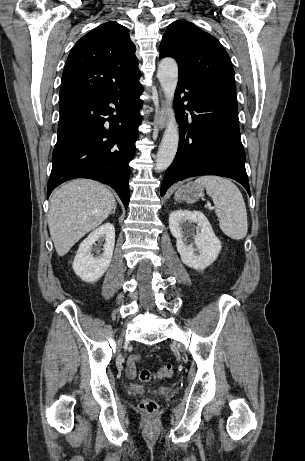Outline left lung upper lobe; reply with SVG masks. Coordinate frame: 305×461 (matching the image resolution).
Here are the masks:
<instances>
[{
    "mask_svg": "<svg viewBox=\"0 0 305 461\" xmlns=\"http://www.w3.org/2000/svg\"><path fill=\"white\" fill-rule=\"evenodd\" d=\"M178 63L179 79L190 82L227 80L235 84L234 69L220 42L194 24L171 23L160 44V57Z\"/></svg>",
    "mask_w": 305,
    "mask_h": 461,
    "instance_id": "obj_1",
    "label": "left lung upper lobe"
}]
</instances>
